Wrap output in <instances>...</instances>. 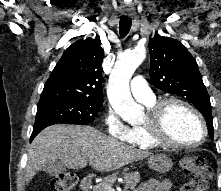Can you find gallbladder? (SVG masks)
Masks as SVG:
<instances>
[{"mask_svg":"<svg viewBox=\"0 0 221 191\" xmlns=\"http://www.w3.org/2000/svg\"><path fill=\"white\" fill-rule=\"evenodd\" d=\"M42 170L49 175H57L64 172L66 170V166L61 161H49L43 166Z\"/></svg>","mask_w":221,"mask_h":191,"instance_id":"gallbladder-1","label":"gallbladder"}]
</instances>
